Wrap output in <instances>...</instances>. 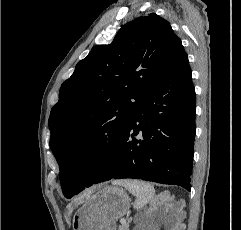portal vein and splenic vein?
Returning a JSON list of instances; mask_svg holds the SVG:
<instances>
[{
    "label": "portal vein and splenic vein",
    "instance_id": "portal-vein-and-splenic-vein-1",
    "mask_svg": "<svg viewBox=\"0 0 241 230\" xmlns=\"http://www.w3.org/2000/svg\"><path fill=\"white\" fill-rule=\"evenodd\" d=\"M120 223H121L122 225H125V224H126V220H125V219H121V220H120Z\"/></svg>",
    "mask_w": 241,
    "mask_h": 230
}]
</instances>
